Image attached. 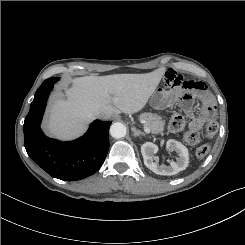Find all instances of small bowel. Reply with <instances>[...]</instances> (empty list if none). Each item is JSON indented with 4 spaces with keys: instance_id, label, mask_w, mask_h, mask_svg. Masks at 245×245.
<instances>
[{
    "instance_id": "1",
    "label": "small bowel",
    "mask_w": 245,
    "mask_h": 245,
    "mask_svg": "<svg viewBox=\"0 0 245 245\" xmlns=\"http://www.w3.org/2000/svg\"><path fill=\"white\" fill-rule=\"evenodd\" d=\"M167 80L173 86H182L192 92L200 93L203 95H208V90L206 86H204L202 83L186 79L185 76L178 74L174 71L168 72ZM185 109L188 112H190L192 109V106L189 100H186L185 102ZM213 114H214L213 108L209 105H206L203 109L202 114L199 117L192 119V121L190 122V128L193 130L199 129L203 125L204 121L207 118L212 117Z\"/></svg>"
}]
</instances>
